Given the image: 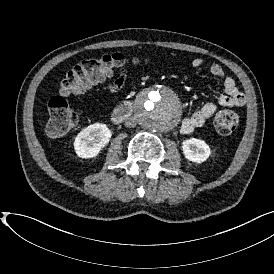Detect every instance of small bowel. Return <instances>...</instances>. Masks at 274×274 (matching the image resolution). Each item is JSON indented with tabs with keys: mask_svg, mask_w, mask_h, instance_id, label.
Returning <instances> with one entry per match:
<instances>
[{
	"mask_svg": "<svg viewBox=\"0 0 274 274\" xmlns=\"http://www.w3.org/2000/svg\"><path fill=\"white\" fill-rule=\"evenodd\" d=\"M203 65L204 60L200 57H196L191 61V66L195 69L201 68ZM209 72L214 77L223 79L224 94L221 95L216 102H206L191 116L184 118L181 123V132L184 134H191L196 128L203 126L218 107L231 108L243 106L246 103V95L239 89L232 77L225 75V71L221 65L216 63L212 64L209 67ZM107 80V75L102 74L99 78L92 80V82L75 88L74 93L77 96L87 94L94 90V88L100 87L101 84L107 82ZM126 80L127 72L121 70L116 78L108 80L107 88L111 92H117L124 87Z\"/></svg>",
	"mask_w": 274,
	"mask_h": 274,
	"instance_id": "obj_1",
	"label": "small bowel"
}]
</instances>
